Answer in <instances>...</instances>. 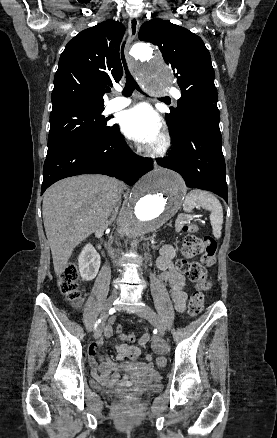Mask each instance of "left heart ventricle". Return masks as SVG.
<instances>
[{
  "instance_id": "left-heart-ventricle-1",
  "label": "left heart ventricle",
  "mask_w": 277,
  "mask_h": 438,
  "mask_svg": "<svg viewBox=\"0 0 277 438\" xmlns=\"http://www.w3.org/2000/svg\"><path fill=\"white\" fill-rule=\"evenodd\" d=\"M158 144H159V141L154 145L153 148H156L158 146Z\"/></svg>"
}]
</instances>
